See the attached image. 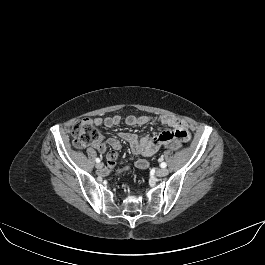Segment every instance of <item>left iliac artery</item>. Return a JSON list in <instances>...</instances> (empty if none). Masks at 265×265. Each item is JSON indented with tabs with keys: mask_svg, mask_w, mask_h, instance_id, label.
I'll list each match as a JSON object with an SVG mask.
<instances>
[{
	"mask_svg": "<svg viewBox=\"0 0 265 265\" xmlns=\"http://www.w3.org/2000/svg\"><path fill=\"white\" fill-rule=\"evenodd\" d=\"M159 161H163V158H162V157L159 158ZM160 166H161L162 168H165V167L167 166V164H166L165 162H162V163L160 164Z\"/></svg>",
	"mask_w": 265,
	"mask_h": 265,
	"instance_id": "1",
	"label": "left iliac artery"
}]
</instances>
